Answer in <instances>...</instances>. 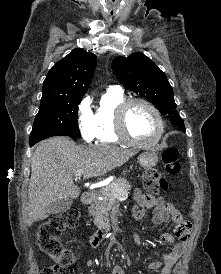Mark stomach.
Masks as SVG:
<instances>
[{"instance_id": "stomach-1", "label": "stomach", "mask_w": 221, "mask_h": 274, "mask_svg": "<svg viewBox=\"0 0 221 274\" xmlns=\"http://www.w3.org/2000/svg\"><path fill=\"white\" fill-rule=\"evenodd\" d=\"M138 161L142 167L150 168L156 165L158 156L154 151H144L139 155Z\"/></svg>"}]
</instances>
